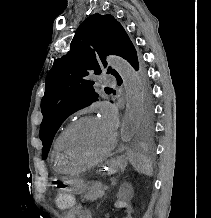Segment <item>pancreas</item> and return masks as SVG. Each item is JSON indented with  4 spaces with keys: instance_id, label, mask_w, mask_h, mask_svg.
Instances as JSON below:
<instances>
[{
    "instance_id": "cf45deb5",
    "label": "pancreas",
    "mask_w": 211,
    "mask_h": 218,
    "mask_svg": "<svg viewBox=\"0 0 211 218\" xmlns=\"http://www.w3.org/2000/svg\"><path fill=\"white\" fill-rule=\"evenodd\" d=\"M104 194V186L97 182V184H92L90 188H88L87 192L84 194V198L86 200H97V198H102Z\"/></svg>"
}]
</instances>
